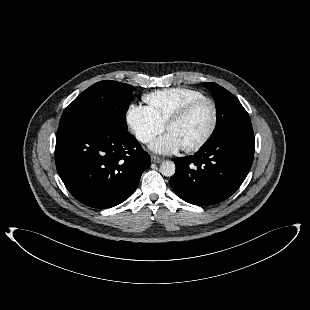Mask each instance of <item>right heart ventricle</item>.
I'll use <instances>...</instances> for the list:
<instances>
[{
    "label": "right heart ventricle",
    "mask_w": 310,
    "mask_h": 310,
    "mask_svg": "<svg viewBox=\"0 0 310 310\" xmlns=\"http://www.w3.org/2000/svg\"><path fill=\"white\" fill-rule=\"evenodd\" d=\"M201 97L204 95L200 91L176 87L150 92L143 97V100L152 116L165 125L186 103Z\"/></svg>",
    "instance_id": "obj_1"
}]
</instances>
